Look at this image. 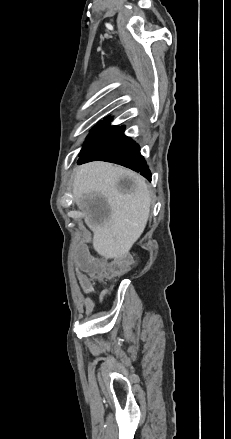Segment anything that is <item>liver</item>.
<instances>
[{
	"instance_id": "liver-1",
	"label": "liver",
	"mask_w": 231,
	"mask_h": 439,
	"mask_svg": "<svg viewBox=\"0 0 231 439\" xmlns=\"http://www.w3.org/2000/svg\"><path fill=\"white\" fill-rule=\"evenodd\" d=\"M122 177L133 181L131 191H120L118 182ZM94 194L105 198L108 214L98 220L86 214V222L94 233L93 248L106 259L121 258L129 253L146 227L151 204L148 185L129 169L96 161L77 167L73 180V196L80 208L84 209V200Z\"/></svg>"
}]
</instances>
